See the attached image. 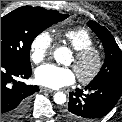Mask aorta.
Returning a JSON list of instances; mask_svg holds the SVG:
<instances>
[{
  "instance_id": "762f6f07",
  "label": "aorta",
  "mask_w": 122,
  "mask_h": 122,
  "mask_svg": "<svg viewBox=\"0 0 122 122\" xmlns=\"http://www.w3.org/2000/svg\"><path fill=\"white\" fill-rule=\"evenodd\" d=\"M53 55L57 63H64L65 57L69 55V50L65 47H59L54 51ZM53 99L56 104L62 105L66 102V94L57 92Z\"/></svg>"
}]
</instances>
